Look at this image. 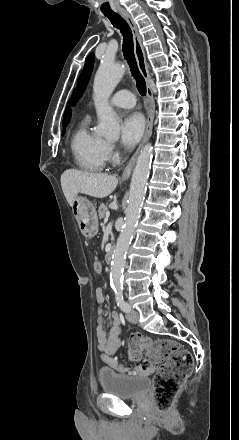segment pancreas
Instances as JSON below:
<instances>
[{
	"instance_id": "pancreas-1",
	"label": "pancreas",
	"mask_w": 239,
	"mask_h": 440,
	"mask_svg": "<svg viewBox=\"0 0 239 440\" xmlns=\"http://www.w3.org/2000/svg\"><path fill=\"white\" fill-rule=\"evenodd\" d=\"M106 212H108L106 204H100L98 208V218H100V220H102V218H105Z\"/></svg>"
}]
</instances>
